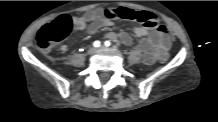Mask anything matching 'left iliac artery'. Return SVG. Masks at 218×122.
Instances as JSON below:
<instances>
[{
    "instance_id": "1",
    "label": "left iliac artery",
    "mask_w": 218,
    "mask_h": 122,
    "mask_svg": "<svg viewBox=\"0 0 218 122\" xmlns=\"http://www.w3.org/2000/svg\"><path fill=\"white\" fill-rule=\"evenodd\" d=\"M111 45L110 41H105V46L109 47Z\"/></svg>"
}]
</instances>
